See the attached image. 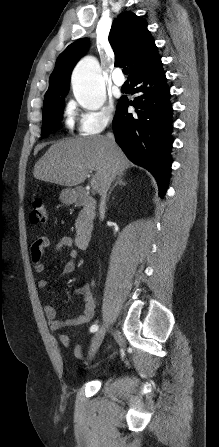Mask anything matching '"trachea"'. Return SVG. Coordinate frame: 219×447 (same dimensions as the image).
I'll list each match as a JSON object with an SVG mask.
<instances>
[{
    "mask_svg": "<svg viewBox=\"0 0 219 447\" xmlns=\"http://www.w3.org/2000/svg\"><path fill=\"white\" fill-rule=\"evenodd\" d=\"M123 73H124L125 75H128V73H129V69H128L127 67H124V68H123Z\"/></svg>",
    "mask_w": 219,
    "mask_h": 447,
    "instance_id": "3493384b",
    "label": "trachea"
}]
</instances>
